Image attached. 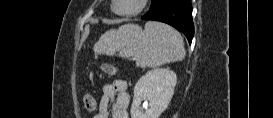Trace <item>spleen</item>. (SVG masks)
<instances>
[{
	"label": "spleen",
	"instance_id": "1",
	"mask_svg": "<svg viewBox=\"0 0 273 118\" xmlns=\"http://www.w3.org/2000/svg\"><path fill=\"white\" fill-rule=\"evenodd\" d=\"M122 58L132 57L137 66L151 68L182 61L183 39L172 27L149 21L144 30L136 24H125L105 32L94 45V52Z\"/></svg>",
	"mask_w": 273,
	"mask_h": 118
}]
</instances>
